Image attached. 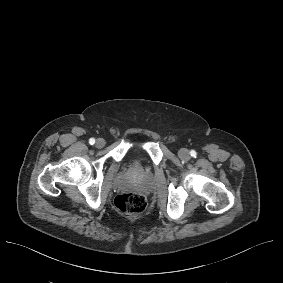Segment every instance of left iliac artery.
Instances as JSON below:
<instances>
[{
	"label": "left iliac artery",
	"instance_id": "44dca946",
	"mask_svg": "<svg viewBox=\"0 0 283 283\" xmlns=\"http://www.w3.org/2000/svg\"><path fill=\"white\" fill-rule=\"evenodd\" d=\"M196 154H197V153H196L194 150H191V151H190V155H191L192 157H196Z\"/></svg>",
	"mask_w": 283,
	"mask_h": 283
}]
</instances>
